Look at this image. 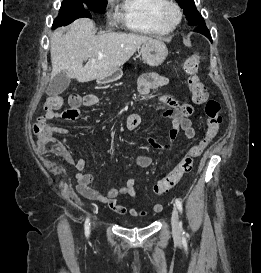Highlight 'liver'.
Listing matches in <instances>:
<instances>
[{"label":"liver","instance_id":"1","mask_svg":"<svg viewBox=\"0 0 261 273\" xmlns=\"http://www.w3.org/2000/svg\"><path fill=\"white\" fill-rule=\"evenodd\" d=\"M150 40L151 37L135 33L110 32L97 36L91 19H77L67 28H59L52 33L51 79L62 71L80 83L105 79ZM87 59L83 66V61Z\"/></svg>","mask_w":261,"mask_h":273}]
</instances>
